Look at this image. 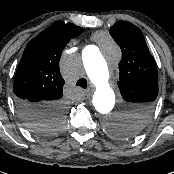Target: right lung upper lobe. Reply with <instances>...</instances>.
<instances>
[{
	"instance_id": "1",
	"label": "right lung upper lobe",
	"mask_w": 174,
	"mask_h": 174,
	"mask_svg": "<svg viewBox=\"0 0 174 174\" xmlns=\"http://www.w3.org/2000/svg\"><path fill=\"white\" fill-rule=\"evenodd\" d=\"M82 32V27L58 21L27 44L14 78L16 100L59 102L64 85L59 69L61 53L70 39ZM39 118L40 113H35L25 122L33 124Z\"/></svg>"
}]
</instances>
